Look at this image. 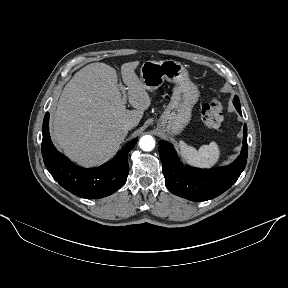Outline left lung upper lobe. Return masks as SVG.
<instances>
[{"mask_svg":"<svg viewBox=\"0 0 288 288\" xmlns=\"http://www.w3.org/2000/svg\"><path fill=\"white\" fill-rule=\"evenodd\" d=\"M233 103L234 104H240L238 96L234 97Z\"/></svg>","mask_w":288,"mask_h":288,"instance_id":"left-lung-upper-lobe-1","label":"left lung upper lobe"}]
</instances>
